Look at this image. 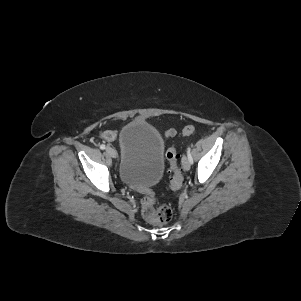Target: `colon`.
Here are the masks:
<instances>
[{
  "mask_svg": "<svg viewBox=\"0 0 301 301\" xmlns=\"http://www.w3.org/2000/svg\"><path fill=\"white\" fill-rule=\"evenodd\" d=\"M195 132V127L187 125L183 128L182 134L184 136H190ZM104 138L110 140L113 135L110 132L104 134ZM167 160L170 164L171 171L173 173L171 179V188L179 189L183 182V176L181 168L179 166V154L175 148H169L166 153ZM141 212L143 217L152 223L166 224L172 219L173 211L168 205H162L158 208L155 207V200L150 196H145L141 200Z\"/></svg>",
  "mask_w": 301,
  "mask_h": 301,
  "instance_id": "obj_1",
  "label": "colon"
}]
</instances>
